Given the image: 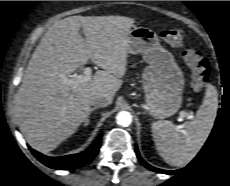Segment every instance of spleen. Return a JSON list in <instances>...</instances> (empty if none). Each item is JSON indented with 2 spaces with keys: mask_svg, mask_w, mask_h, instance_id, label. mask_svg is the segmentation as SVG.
Returning <instances> with one entry per match:
<instances>
[{
  "mask_svg": "<svg viewBox=\"0 0 230 186\" xmlns=\"http://www.w3.org/2000/svg\"><path fill=\"white\" fill-rule=\"evenodd\" d=\"M218 92L206 85L204 101L195 118L182 126L171 121L152 123V134L159 155L172 166L187 165L206 142L216 119Z\"/></svg>",
  "mask_w": 230,
  "mask_h": 186,
  "instance_id": "3e777b00",
  "label": "spleen"
}]
</instances>
